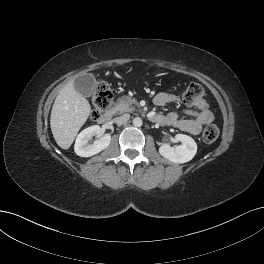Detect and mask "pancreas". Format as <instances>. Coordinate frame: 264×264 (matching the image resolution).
Wrapping results in <instances>:
<instances>
[{
	"label": "pancreas",
	"mask_w": 264,
	"mask_h": 264,
	"mask_svg": "<svg viewBox=\"0 0 264 264\" xmlns=\"http://www.w3.org/2000/svg\"><path fill=\"white\" fill-rule=\"evenodd\" d=\"M136 105H137L136 100L123 96L117 100V103L115 104L114 109L118 113L133 112L135 110Z\"/></svg>",
	"instance_id": "pancreas-1"
}]
</instances>
